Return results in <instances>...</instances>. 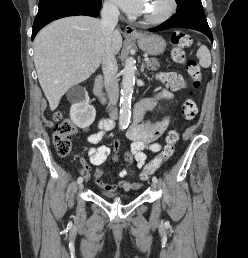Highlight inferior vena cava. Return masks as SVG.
Listing matches in <instances>:
<instances>
[{
    "label": "inferior vena cava",
    "mask_w": 248,
    "mask_h": 258,
    "mask_svg": "<svg viewBox=\"0 0 248 258\" xmlns=\"http://www.w3.org/2000/svg\"><path fill=\"white\" fill-rule=\"evenodd\" d=\"M119 15L120 12L115 5L108 2L104 3L101 11V28L104 35V47L101 62L109 107L111 108L116 106L119 95V86L116 78L118 67L112 47V34L118 23Z\"/></svg>",
    "instance_id": "1"
}]
</instances>
